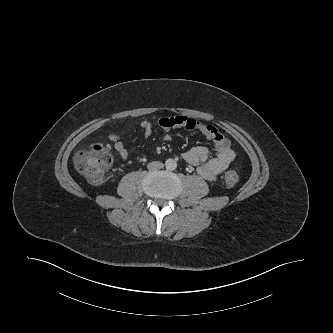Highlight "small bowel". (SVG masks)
<instances>
[{
  "instance_id": "small-bowel-1",
  "label": "small bowel",
  "mask_w": 333,
  "mask_h": 333,
  "mask_svg": "<svg viewBox=\"0 0 333 333\" xmlns=\"http://www.w3.org/2000/svg\"><path fill=\"white\" fill-rule=\"evenodd\" d=\"M159 126L165 132L178 128L198 131L213 142V156H211L210 151L204 146H194L183 153V159L187 163L197 166L198 174L208 181L216 180L217 176L226 170L236 157V152L231 147L229 140L212 125H206L186 116H175L161 118L159 120ZM140 130L145 139L149 138L152 134L151 124L147 121L140 124ZM164 138L165 140H170L171 136L167 133ZM109 139L113 143L114 150L119 158L123 161H127L129 153L121 140V131L112 132L109 135Z\"/></svg>"
}]
</instances>
